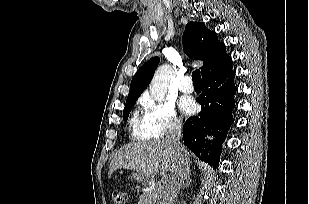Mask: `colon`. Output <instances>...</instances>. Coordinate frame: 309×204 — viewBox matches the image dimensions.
Here are the masks:
<instances>
[{"instance_id":"1","label":"colon","mask_w":309,"mask_h":204,"mask_svg":"<svg viewBox=\"0 0 309 204\" xmlns=\"http://www.w3.org/2000/svg\"><path fill=\"white\" fill-rule=\"evenodd\" d=\"M128 199V193L124 190H114L113 191V201L114 204H126Z\"/></svg>"}]
</instances>
